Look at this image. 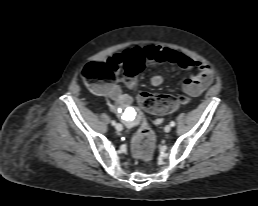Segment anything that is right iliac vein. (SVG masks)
Wrapping results in <instances>:
<instances>
[{
    "label": "right iliac vein",
    "mask_w": 258,
    "mask_h": 206,
    "mask_svg": "<svg viewBox=\"0 0 258 206\" xmlns=\"http://www.w3.org/2000/svg\"><path fill=\"white\" fill-rule=\"evenodd\" d=\"M115 128H116L117 131H122L123 126L118 123V124H116Z\"/></svg>",
    "instance_id": "obj_1"
}]
</instances>
